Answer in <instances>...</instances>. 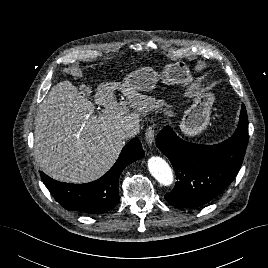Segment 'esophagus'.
<instances>
[{
  "label": "esophagus",
  "mask_w": 268,
  "mask_h": 268,
  "mask_svg": "<svg viewBox=\"0 0 268 268\" xmlns=\"http://www.w3.org/2000/svg\"><path fill=\"white\" fill-rule=\"evenodd\" d=\"M155 139V130H154V126H148L146 131H145V140L146 143L150 146L153 144Z\"/></svg>",
  "instance_id": "esophagus-1"
}]
</instances>
